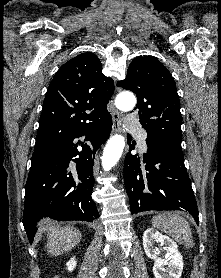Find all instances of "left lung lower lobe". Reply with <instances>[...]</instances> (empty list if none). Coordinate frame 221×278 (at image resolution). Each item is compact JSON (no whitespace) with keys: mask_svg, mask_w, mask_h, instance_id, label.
Returning a JSON list of instances; mask_svg holds the SVG:
<instances>
[{"mask_svg":"<svg viewBox=\"0 0 221 278\" xmlns=\"http://www.w3.org/2000/svg\"><path fill=\"white\" fill-rule=\"evenodd\" d=\"M148 146L140 165L137 155L129 153L124 162V183L132 214L149 210L189 212L197 224L198 208L188 177L181 140L146 139ZM134 147L130 144V150Z\"/></svg>","mask_w":221,"mask_h":278,"instance_id":"1","label":"left lung lower lobe"}]
</instances>
